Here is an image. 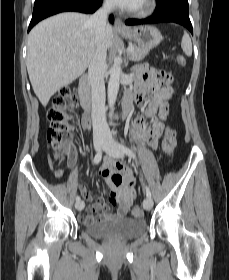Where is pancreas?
Masks as SVG:
<instances>
[{
  "instance_id": "obj_1",
  "label": "pancreas",
  "mask_w": 229,
  "mask_h": 280,
  "mask_svg": "<svg viewBox=\"0 0 229 280\" xmlns=\"http://www.w3.org/2000/svg\"><path fill=\"white\" fill-rule=\"evenodd\" d=\"M131 47L134 49L133 52L129 53V58L132 61H141L150 51V49H143L136 45H132Z\"/></svg>"
}]
</instances>
